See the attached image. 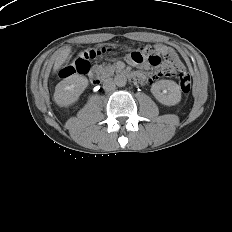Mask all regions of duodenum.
Returning <instances> with one entry per match:
<instances>
[{
    "instance_id": "410a0bca",
    "label": "duodenum",
    "mask_w": 232,
    "mask_h": 232,
    "mask_svg": "<svg viewBox=\"0 0 232 232\" xmlns=\"http://www.w3.org/2000/svg\"><path fill=\"white\" fill-rule=\"evenodd\" d=\"M89 78L94 84H100V82L102 81V75L100 70L96 67L92 68L91 71L89 72ZM130 78L133 81L136 80V76L130 75Z\"/></svg>"
}]
</instances>
